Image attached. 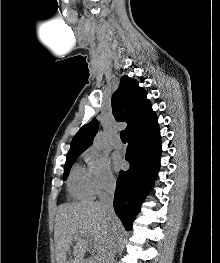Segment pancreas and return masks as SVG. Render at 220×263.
<instances>
[{"mask_svg":"<svg viewBox=\"0 0 220 263\" xmlns=\"http://www.w3.org/2000/svg\"><path fill=\"white\" fill-rule=\"evenodd\" d=\"M102 260L97 259L96 261H94L93 263H102Z\"/></svg>","mask_w":220,"mask_h":263,"instance_id":"pancreas-1","label":"pancreas"}]
</instances>
